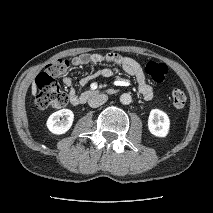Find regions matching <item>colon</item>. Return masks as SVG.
I'll return each mask as SVG.
<instances>
[{
    "instance_id": "colon-1",
    "label": "colon",
    "mask_w": 213,
    "mask_h": 213,
    "mask_svg": "<svg viewBox=\"0 0 213 213\" xmlns=\"http://www.w3.org/2000/svg\"><path fill=\"white\" fill-rule=\"evenodd\" d=\"M69 69V61L65 59L55 60L44 68L36 79L37 92L33 98V105L37 109H60L67 103V95L61 89L56 77L64 74ZM145 70L153 81H164L168 68L163 63L148 62ZM172 103L175 108L181 109L186 104V95L178 87H173L171 92Z\"/></svg>"
}]
</instances>
